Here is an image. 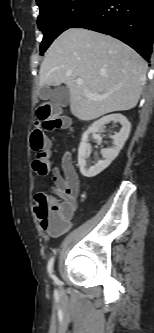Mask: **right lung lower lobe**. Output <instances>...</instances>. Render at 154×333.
Segmentation results:
<instances>
[{"instance_id":"right-lung-lower-lobe-1","label":"right lung lower lobe","mask_w":154,"mask_h":333,"mask_svg":"<svg viewBox=\"0 0 154 333\" xmlns=\"http://www.w3.org/2000/svg\"><path fill=\"white\" fill-rule=\"evenodd\" d=\"M71 28L111 35L149 60L154 41V0H101Z\"/></svg>"}]
</instances>
